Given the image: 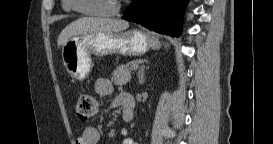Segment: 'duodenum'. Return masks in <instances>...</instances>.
Listing matches in <instances>:
<instances>
[{"instance_id": "obj_1", "label": "duodenum", "mask_w": 273, "mask_h": 144, "mask_svg": "<svg viewBox=\"0 0 273 144\" xmlns=\"http://www.w3.org/2000/svg\"><path fill=\"white\" fill-rule=\"evenodd\" d=\"M118 103L123 109V119L125 121H131L133 118V109L135 106V99L130 94H120L118 97Z\"/></svg>"}]
</instances>
